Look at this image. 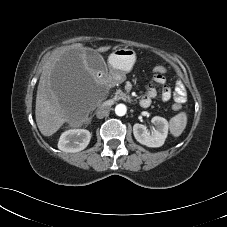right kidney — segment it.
I'll list each match as a JSON object with an SVG mask.
<instances>
[{"label": "right kidney", "mask_w": 227, "mask_h": 227, "mask_svg": "<svg viewBox=\"0 0 227 227\" xmlns=\"http://www.w3.org/2000/svg\"><path fill=\"white\" fill-rule=\"evenodd\" d=\"M91 133L85 129H70L63 132L59 138L58 148L67 153L84 150L89 144Z\"/></svg>", "instance_id": "obj_1"}]
</instances>
